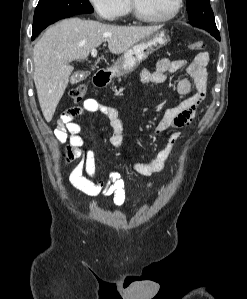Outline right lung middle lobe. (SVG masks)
I'll use <instances>...</instances> for the list:
<instances>
[{
	"mask_svg": "<svg viewBox=\"0 0 247 299\" xmlns=\"http://www.w3.org/2000/svg\"><path fill=\"white\" fill-rule=\"evenodd\" d=\"M93 11L88 0H39L34 13L32 35L39 34L60 19Z\"/></svg>",
	"mask_w": 247,
	"mask_h": 299,
	"instance_id": "1",
	"label": "right lung middle lobe"
}]
</instances>
